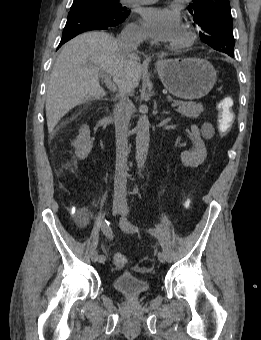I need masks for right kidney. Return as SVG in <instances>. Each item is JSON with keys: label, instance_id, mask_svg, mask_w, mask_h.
<instances>
[{"label": "right kidney", "instance_id": "right-kidney-1", "mask_svg": "<svg viewBox=\"0 0 261 340\" xmlns=\"http://www.w3.org/2000/svg\"><path fill=\"white\" fill-rule=\"evenodd\" d=\"M75 147V153L81 160L85 159L92 149V142L90 140V130L87 125H83L76 140L72 143Z\"/></svg>", "mask_w": 261, "mask_h": 340}]
</instances>
